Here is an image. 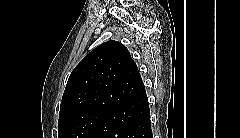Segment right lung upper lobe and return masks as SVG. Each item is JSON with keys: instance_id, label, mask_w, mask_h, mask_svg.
Segmentation results:
<instances>
[{"instance_id": "obj_1", "label": "right lung upper lobe", "mask_w": 240, "mask_h": 138, "mask_svg": "<svg viewBox=\"0 0 240 138\" xmlns=\"http://www.w3.org/2000/svg\"><path fill=\"white\" fill-rule=\"evenodd\" d=\"M145 91L128 49L107 41L92 50L72 71L59 118L85 110L109 112Z\"/></svg>"}]
</instances>
